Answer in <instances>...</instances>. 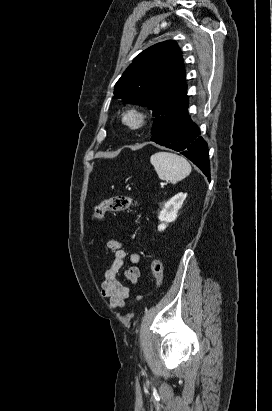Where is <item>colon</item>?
I'll use <instances>...</instances> for the list:
<instances>
[{"mask_svg": "<svg viewBox=\"0 0 272 411\" xmlns=\"http://www.w3.org/2000/svg\"><path fill=\"white\" fill-rule=\"evenodd\" d=\"M136 205V200L132 197L116 195L112 196L93 208L92 218L95 221L102 220L109 212H121L130 209ZM151 270L155 278L156 285L161 286L163 282V265L162 262L155 258L151 261Z\"/></svg>", "mask_w": 272, "mask_h": 411, "instance_id": "5ec220e1", "label": "colon"}]
</instances>
